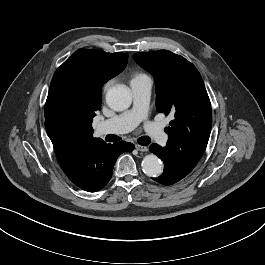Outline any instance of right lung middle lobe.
Wrapping results in <instances>:
<instances>
[{
  "label": "right lung middle lobe",
  "instance_id": "right-lung-middle-lobe-1",
  "mask_svg": "<svg viewBox=\"0 0 265 265\" xmlns=\"http://www.w3.org/2000/svg\"><path fill=\"white\" fill-rule=\"evenodd\" d=\"M91 97L89 86L74 77L72 64H62L50 84L45 120L49 119L63 129H70L89 109Z\"/></svg>",
  "mask_w": 265,
  "mask_h": 265
}]
</instances>
